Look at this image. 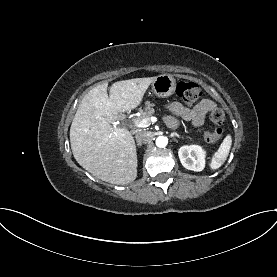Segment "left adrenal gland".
<instances>
[{"label": "left adrenal gland", "instance_id": "1", "mask_svg": "<svg viewBox=\"0 0 277 277\" xmlns=\"http://www.w3.org/2000/svg\"><path fill=\"white\" fill-rule=\"evenodd\" d=\"M175 136L178 137V138H180L179 134L176 133V132H173V133H171V135H170L171 138H173V137H175Z\"/></svg>", "mask_w": 277, "mask_h": 277}]
</instances>
